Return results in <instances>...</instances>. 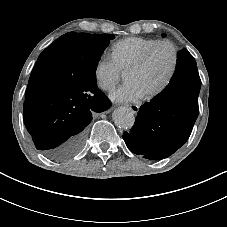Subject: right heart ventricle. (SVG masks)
Instances as JSON below:
<instances>
[{"instance_id":"right-heart-ventricle-1","label":"right heart ventricle","mask_w":227,"mask_h":227,"mask_svg":"<svg viewBox=\"0 0 227 227\" xmlns=\"http://www.w3.org/2000/svg\"><path fill=\"white\" fill-rule=\"evenodd\" d=\"M157 40L142 37H127L114 44L112 59L122 71L129 70Z\"/></svg>"}]
</instances>
